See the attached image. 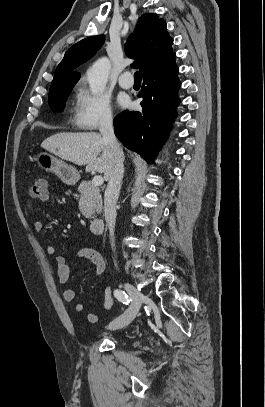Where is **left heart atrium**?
I'll return each mask as SVG.
<instances>
[{
  "label": "left heart atrium",
  "instance_id": "1",
  "mask_svg": "<svg viewBox=\"0 0 265 407\" xmlns=\"http://www.w3.org/2000/svg\"><path fill=\"white\" fill-rule=\"evenodd\" d=\"M121 105L126 106V105H127V101H126V100H122V101H121Z\"/></svg>",
  "mask_w": 265,
  "mask_h": 407
}]
</instances>
